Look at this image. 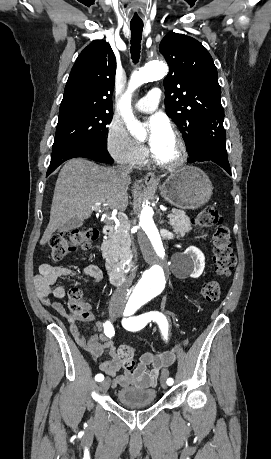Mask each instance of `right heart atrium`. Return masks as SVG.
<instances>
[{
    "mask_svg": "<svg viewBox=\"0 0 271 459\" xmlns=\"http://www.w3.org/2000/svg\"><path fill=\"white\" fill-rule=\"evenodd\" d=\"M106 149L116 161H125L132 166L141 164L148 155L146 147L138 143L127 128L117 122L108 126Z\"/></svg>",
    "mask_w": 271,
    "mask_h": 459,
    "instance_id": "d8ad5b80",
    "label": "right heart atrium"
}]
</instances>
